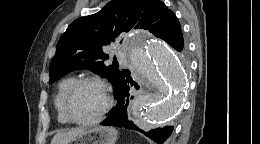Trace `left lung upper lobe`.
Listing matches in <instances>:
<instances>
[{"instance_id":"obj_1","label":"left lung upper lobe","mask_w":260,"mask_h":144,"mask_svg":"<svg viewBox=\"0 0 260 144\" xmlns=\"http://www.w3.org/2000/svg\"><path fill=\"white\" fill-rule=\"evenodd\" d=\"M132 28L148 30L167 43L181 30L177 17L162 1L113 0L99 12L75 20L60 37L49 67V83L75 68H87L107 78L115 91L125 72L104 64L108 56L103 48Z\"/></svg>"}]
</instances>
